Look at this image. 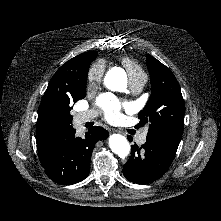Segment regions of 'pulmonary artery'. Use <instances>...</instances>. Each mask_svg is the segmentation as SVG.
<instances>
[{
  "label": "pulmonary artery",
  "instance_id": "pulmonary-artery-1",
  "mask_svg": "<svg viewBox=\"0 0 221 221\" xmlns=\"http://www.w3.org/2000/svg\"><path fill=\"white\" fill-rule=\"evenodd\" d=\"M146 83V76L145 75H141L135 78L130 79L129 81V85H130V89L134 92V93H139L142 88L144 87ZM95 117V112L94 111H87V112H83L78 114L77 118H76V122L81 125L84 124L90 120H92ZM146 138H147V131H143L137 138V141L139 144H144L146 142Z\"/></svg>",
  "mask_w": 221,
  "mask_h": 221
}]
</instances>
